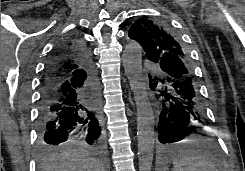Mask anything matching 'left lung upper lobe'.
Instances as JSON below:
<instances>
[{
    "label": "left lung upper lobe",
    "mask_w": 245,
    "mask_h": 171,
    "mask_svg": "<svg viewBox=\"0 0 245 171\" xmlns=\"http://www.w3.org/2000/svg\"><path fill=\"white\" fill-rule=\"evenodd\" d=\"M128 36L142 46L147 58L154 63L166 55L188 62L178 34L162 20L140 18L130 26Z\"/></svg>",
    "instance_id": "1"
}]
</instances>
